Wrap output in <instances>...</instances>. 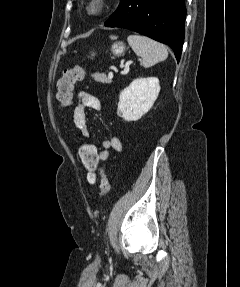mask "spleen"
Masks as SVG:
<instances>
[{
  "label": "spleen",
  "instance_id": "spleen-1",
  "mask_svg": "<svg viewBox=\"0 0 240 287\" xmlns=\"http://www.w3.org/2000/svg\"><path fill=\"white\" fill-rule=\"evenodd\" d=\"M127 40L136 55L141 57V65L144 68L151 67L168 57L165 45L146 36L132 34Z\"/></svg>",
  "mask_w": 240,
  "mask_h": 287
}]
</instances>
